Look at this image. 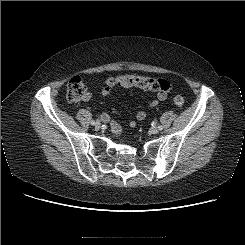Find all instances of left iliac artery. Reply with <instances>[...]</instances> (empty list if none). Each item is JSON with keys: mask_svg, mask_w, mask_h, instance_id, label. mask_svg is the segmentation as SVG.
Returning <instances> with one entry per match:
<instances>
[{"mask_svg": "<svg viewBox=\"0 0 245 245\" xmlns=\"http://www.w3.org/2000/svg\"><path fill=\"white\" fill-rule=\"evenodd\" d=\"M153 124L156 125L155 122H153ZM158 128H159V130H162L163 129L162 126H158Z\"/></svg>", "mask_w": 245, "mask_h": 245, "instance_id": "1", "label": "left iliac artery"}]
</instances>
